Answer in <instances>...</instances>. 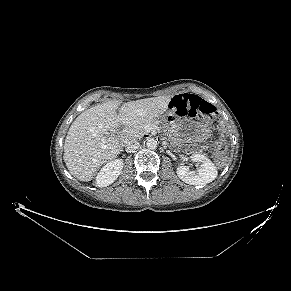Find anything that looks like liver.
<instances>
[{
	"label": "liver",
	"mask_w": 291,
	"mask_h": 291,
	"mask_svg": "<svg viewBox=\"0 0 291 291\" xmlns=\"http://www.w3.org/2000/svg\"><path fill=\"white\" fill-rule=\"evenodd\" d=\"M172 96L145 98L123 103L112 100L83 111L71 124L63 159L69 172L80 181H90L97 169L120 152L119 140L110 132L119 125L154 120L164 114ZM119 109V114H117Z\"/></svg>",
	"instance_id": "6515ba94"
}]
</instances>
